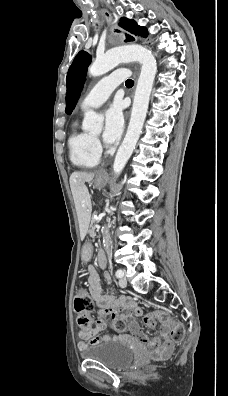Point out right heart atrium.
<instances>
[{"label":"right heart atrium","instance_id":"obj_1","mask_svg":"<svg viewBox=\"0 0 228 396\" xmlns=\"http://www.w3.org/2000/svg\"><path fill=\"white\" fill-rule=\"evenodd\" d=\"M96 146H97L98 150H100V145H99L98 141H96Z\"/></svg>","mask_w":228,"mask_h":396}]
</instances>
